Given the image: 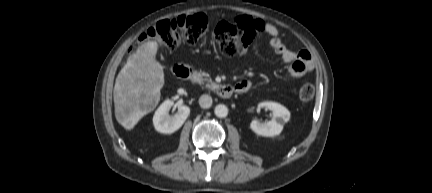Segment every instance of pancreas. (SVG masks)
<instances>
[{
	"instance_id": "obj_1",
	"label": "pancreas",
	"mask_w": 432,
	"mask_h": 193,
	"mask_svg": "<svg viewBox=\"0 0 432 193\" xmlns=\"http://www.w3.org/2000/svg\"><path fill=\"white\" fill-rule=\"evenodd\" d=\"M206 82V88L210 90H215L218 85L212 81L208 73L205 72H199L198 73V83L203 84Z\"/></svg>"
}]
</instances>
